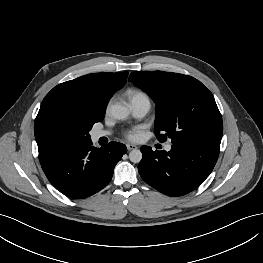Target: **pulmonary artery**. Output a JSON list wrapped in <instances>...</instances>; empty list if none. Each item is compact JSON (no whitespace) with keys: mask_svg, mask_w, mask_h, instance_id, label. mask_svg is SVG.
<instances>
[{"mask_svg":"<svg viewBox=\"0 0 263 263\" xmlns=\"http://www.w3.org/2000/svg\"><path fill=\"white\" fill-rule=\"evenodd\" d=\"M149 109H150L149 100L144 99V100H138V101L132 102V111H133L134 116L136 117L140 118V117L145 116L148 113ZM107 135H109L108 131L97 130L92 133V139L98 140L99 138L107 136ZM165 150L170 151L171 145L170 144L166 145Z\"/></svg>","mask_w":263,"mask_h":263,"instance_id":"e3ab8cb5","label":"pulmonary artery"}]
</instances>
